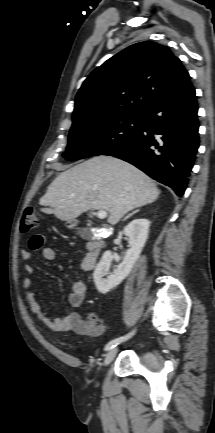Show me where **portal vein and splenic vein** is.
Returning a JSON list of instances; mask_svg holds the SVG:
<instances>
[{"label": "portal vein and splenic vein", "instance_id": "portal-vein-and-splenic-vein-1", "mask_svg": "<svg viewBox=\"0 0 215 433\" xmlns=\"http://www.w3.org/2000/svg\"><path fill=\"white\" fill-rule=\"evenodd\" d=\"M97 217L99 219H105L107 217V212L106 211H98L97 212Z\"/></svg>", "mask_w": 215, "mask_h": 433}]
</instances>
